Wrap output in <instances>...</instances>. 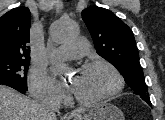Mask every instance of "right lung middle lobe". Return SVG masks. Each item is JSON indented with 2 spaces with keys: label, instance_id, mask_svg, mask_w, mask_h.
I'll return each mask as SVG.
<instances>
[{
  "label": "right lung middle lobe",
  "instance_id": "1",
  "mask_svg": "<svg viewBox=\"0 0 165 120\" xmlns=\"http://www.w3.org/2000/svg\"><path fill=\"white\" fill-rule=\"evenodd\" d=\"M30 58H0V84L27 90Z\"/></svg>",
  "mask_w": 165,
  "mask_h": 120
}]
</instances>
